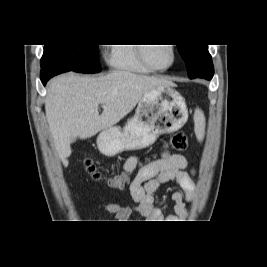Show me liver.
<instances>
[{"label":"liver","mask_w":267,"mask_h":267,"mask_svg":"<svg viewBox=\"0 0 267 267\" xmlns=\"http://www.w3.org/2000/svg\"><path fill=\"white\" fill-rule=\"evenodd\" d=\"M174 86L170 80L128 71L90 77L67 73L51 80L45 100L46 118L57 154L66 167L71 140L86 139L113 127L150 90ZM103 105L99 115L98 105Z\"/></svg>","instance_id":"liver-1"}]
</instances>
